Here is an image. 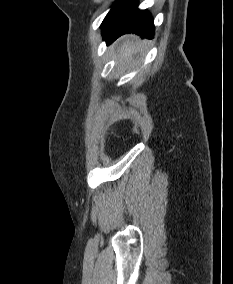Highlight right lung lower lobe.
<instances>
[{
	"instance_id": "1",
	"label": "right lung lower lobe",
	"mask_w": 233,
	"mask_h": 284,
	"mask_svg": "<svg viewBox=\"0 0 233 284\" xmlns=\"http://www.w3.org/2000/svg\"><path fill=\"white\" fill-rule=\"evenodd\" d=\"M101 26L103 37L108 43L131 32L147 39H152L154 35L153 20L147 11L137 9V0L116 3Z\"/></svg>"
}]
</instances>
